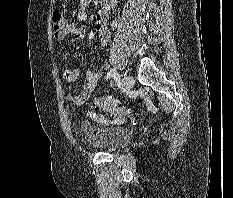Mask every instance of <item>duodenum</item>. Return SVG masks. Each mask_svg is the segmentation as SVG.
Segmentation results:
<instances>
[{"instance_id":"1","label":"duodenum","mask_w":233,"mask_h":198,"mask_svg":"<svg viewBox=\"0 0 233 198\" xmlns=\"http://www.w3.org/2000/svg\"><path fill=\"white\" fill-rule=\"evenodd\" d=\"M114 3V0H102L103 8L108 9Z\"/></svg>"}]
</instances>
